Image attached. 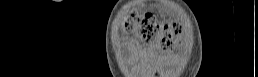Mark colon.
<instances>
[{
  "label": "colon",
  "mask_w": 258,
  "mask_h": 77,
  "mask_svg": "<svg viewBox=\"0 0 258 77\" xmlns=\"http://www.w3.org/2000/svg\"><path fill=\"white\" fill-rule=\"evenodd\" d=\"M125 28L134 32L143 43L155 45L162 51L172 48L181 31L177 24L159 23L154 15L137 12L128 15Z\"/></svg>",
  "instance_id": "colon-1"
}]
</instances>
